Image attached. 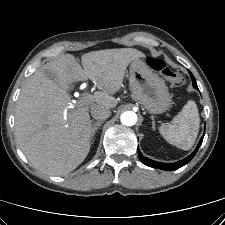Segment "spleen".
Listing matches in <instances>:
<instances>
[{
    "label": "spleen",
    "instance_id": "1",
    "mask_svg": "<svg viewBox=\"0 0 225 225\" xmlns=\"http://www.w3.org/2000/svg\"><path fill=\"white\" fill-rule=\"evenodd\" d=\"M200 118L194 101H188L170 123L159 127L162 137L170 144L189 150L198 135Z\"/></svg>",
    "mask_w": 225,
    "mask_h": 225
}]
</instances>
